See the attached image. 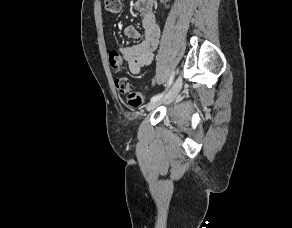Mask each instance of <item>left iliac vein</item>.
Masks as SVG:
<instances>
[{
  "instance_id": "obj_1",
  "label": "left iliac vein",
  "mask_w": 292,
  "mask_h": 228,
  "mask_svg": "<svg viewBox=\"0 0 292 228\" xmlns=\"http://www.w3.org/2000/svg\"><path fill=\"white\" fill-rule=\"evenodd\" d=\"M182 88V77H178L169 92L157 101H151L147 105V110H154L160 105L168 104L173 101Z\"/></svg>"
}]
</instances>
